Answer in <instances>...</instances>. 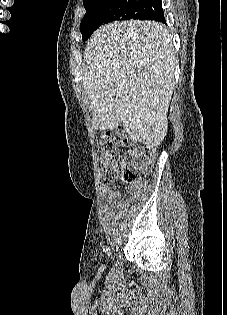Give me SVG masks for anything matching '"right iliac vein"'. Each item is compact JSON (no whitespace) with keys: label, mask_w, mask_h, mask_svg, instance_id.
Instances as JSON below:
<instances>
[{"label":"right iliac vein","mask_w":227,"mask_h":315,"mask_svg":"<svg viewBox=\"0 0 227 315\" xmlns=\"http://www.w3.org/2000/svg\"><path fill=\"white\" fill-rule=\"evenodd\" d=\"M117 245H118V240L116 239V240H114V242H113V247H117Z\"/></svg>","instance_id":"63e3f726"}]
</instances>
